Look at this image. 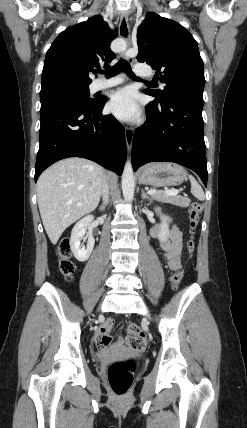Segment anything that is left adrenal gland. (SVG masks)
<instances>
[{
  "instance_id": "1",
  "label": "left adrenal gland",
  "mask_w": 247,
  "mask_h": 428,
  "mask_svg": "<svg viewBox=\"0 0 247 428\" xmlns=\"http://www.w3.org/2000/svg\"><path fill=\"white\" fill-rule=\"evenodd\" d=\"M141 192H142V195H141V197L143 198V199H149V201H150V204H151V202H152V197H150L149 195H147L146 193H145V190L144 189H141Z\"/></svg>"
}]
</instances>
